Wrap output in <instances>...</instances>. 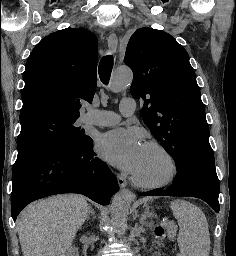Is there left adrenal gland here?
Returning <instances> with one entry per match:
<instances>
[{
	"instance_id": "obj_1",
	"label": "left adrenal gland",
	"mask_w": 236,
	"mask_h": 256,
	"mask_svg": "<svg viewBox=\"0 0 236 256\" xmlns=\"http://www.w3.org/2000/svg\"><path fill=\"white\" fill-rule=\"evenodd\" d=\"M155 214H153V212H149V208L148 206H145V210L143 212V214H141V218H139V222L141 224V226H147L148 228V224L146 222L147 218H154Z\"/></svg>"
}]
</instances>
